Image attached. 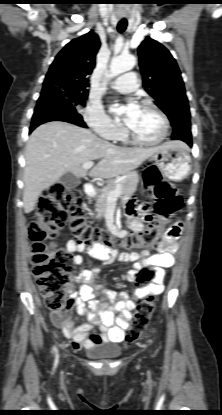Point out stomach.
I'll use <instances>...</instances> for the list:
<instances>
[{
	"label": "stomach",
	"instance_id": "stomach-1",
	"mask_svg": "<svg viewBox=\"0 0 222 415\" xmlns=\"http://www.w3.org/2000/svg\"><path fill=\"white\" fill-rule=\"evenodd\" d=\"M167 142L161 145L158 152L151 156L159 170L172 181L185 179L191 171V158L187 146L171 145Z\"/></svg>",
	"mask_w": 222,
	"mask_h": 415
}]
</instances>
